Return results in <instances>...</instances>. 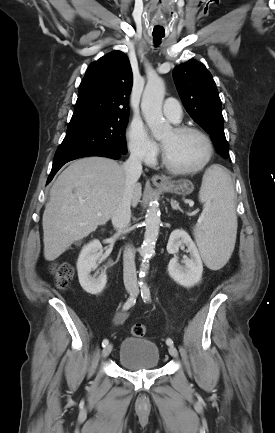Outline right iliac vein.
<instances>
[{
  "instance_id": "obj_1",
  "label": "right iliac vein",
  "mask_w": 275,
  "mask_h": 433,
  "mask_svg": "<svg viewBox=\"0 0 275 433\" xmlns=\"http://www.w3.org/2000/svg\"><path fill=\"white\" fill-rule=\"evenodd\" d=\"M112 348H113L112 344H108V345H106V346L104 347V349L102 350V357H103V358H106L107 356H109V354H110L111 351H112Z\"/></svg>"
}]
</instances>
